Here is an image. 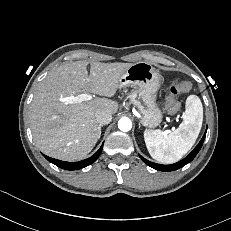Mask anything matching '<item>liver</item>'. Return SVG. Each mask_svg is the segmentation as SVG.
<instances>
[{
	"instance_id": "1",
	"label": "liver",
	"mask_w": 231,
	"mask_h": 231,
	"mask_svg": "<svg viewBox=\"0 0 231 231\" xmlns=\"http://www.w3.org/2000/svg\"><path fill=\"white\" fill-rule=\"evenodd\" d=\"M75 61L52 70L38 85L29 109L30 127L36 146L46 155L64 160L85 158L101 136L95 113L115 114L118 103L96 98L81 103L68 99L82 93L113 97L120 77L132 63Z\"/></svg>"
}]
</instances>
